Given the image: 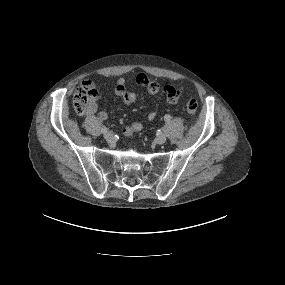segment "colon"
<instances>
[{"mask_svg": "<svg viewBox=\"0 0 285 285\" xmlns=\"http://www.w3.org/2000/svg\"><path fill=\"white\" fill-rule=\"evenodd\" d=\"M98 91L91 82H84L75 92L73 97V106L77 114L82 115L86 112L90 101L96 96ZM198 108V102L195 98H190L186 102L185 111L190 115H195ZM126 134H132L133 130L127 128Z\"/></svg>", "mask_w": 285, "mask_h": 285, "instance_id": "colon-1", "label": "colon"}]
</instances>
